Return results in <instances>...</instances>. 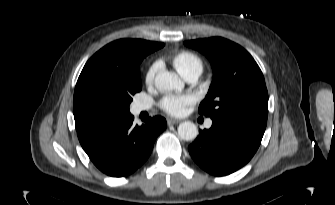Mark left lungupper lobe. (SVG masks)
<instances>
[{
    "instance_id": "1",
    "label": "left lung upper lobe",
    "mask_w": 335,
    "mask_h": 205,
    "mask_svg": "<svg viewBox=\"0 0 335 205\" xmlns=\"http://www.w3.org/2000/svg\"><path fill=\"white\" fill-rule=\"evenodd\" d=\"M186 46L209 59L213 79L199 106L206 117H227L266 128L268 92L253 57L240 45L221 37L190 40Z\"/></svg>"
}]
</instances>
